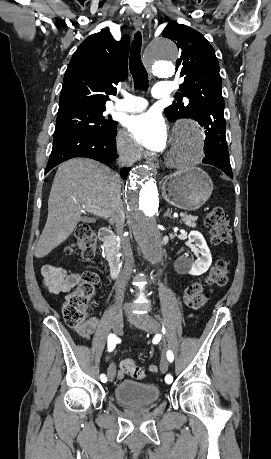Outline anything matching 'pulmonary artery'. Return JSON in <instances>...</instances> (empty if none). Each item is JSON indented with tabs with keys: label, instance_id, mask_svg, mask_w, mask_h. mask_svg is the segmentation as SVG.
<instances>
[{
	"label": "pulmonary artery",
	"instance_id": "1",
	"mask_svg": "<svg viewBox=\"0 0 271 459\" xmlns=\"http://www.w3.org/2000/svg\"><path fill=\"white\" fill-rule=\"evenodd\" d=\"M153 96L155 98H166L168 95L167 83L165 81H158L155 84ZM151 105L149 98H142L131 94H125L124 99L115 101L111 106V113H138Z\"/></svg>",
	"mask_w": 271,
	"mask_h": 459
}]
</instances>
